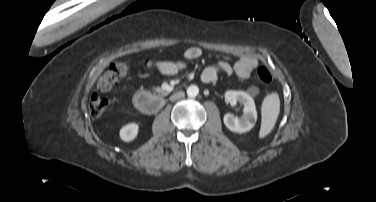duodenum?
Instances as JSON below:
<instances>
[{"instance_id": "1", "label": "duodenum", "mask_w": 376, "mask_h": 202, "mask_svg": "<svg viewBox=\"0 0 376 202\" xmlns=\"http://www.w3.org/2000/svg\"><path fill=\"white\" fill-rule=\"evenodd\" d=\"M133 104L137 110L146 114H154L163 106L162 94L139 92L133 97Z\"/></svg>"}]
</instances>
